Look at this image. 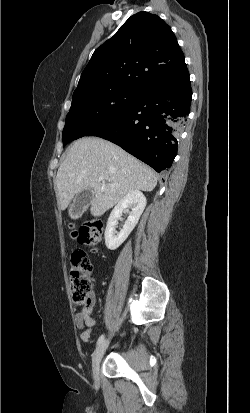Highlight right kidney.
Instances as JSON below:
<instances>
[{"label": "right kidney", "mask_w": 250, "mask_h": 413, "mask_svg": "<svg viewBox=\"0 0 250 413\" xmlns=\"http://www.w3.org/2000/svg\"><path fill=\"white\" fill-rule=\"evenodd\" d=\"M146 206V198L139 190L127 193L112 210L105 230V244L108 249H117L137 225ZM131 209L129 216L119 233L115 231L118 219L124 210Z\"/></svg>", "instance_id": "obj_1"}]
</instances>
